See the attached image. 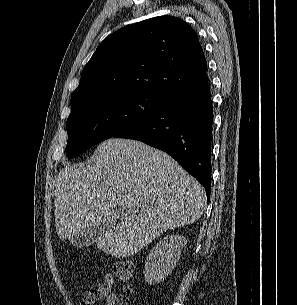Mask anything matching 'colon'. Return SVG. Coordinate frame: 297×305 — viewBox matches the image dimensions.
Listing matches in <instances>:
<instances>
[{
  "instance_id": "obj_1",
  "label": "colon",
  "mask_w": 297,
  "mask_h": 305,
  "mask_svg": "<svg viewBox=\"0 0 297 305\" xmlns=\"http://www.w3.org/2000/svg\"><path fill=\"white\" fill-rule=\"evenodd\" d=\"M115 274L119 280L124 283L130 282L134 277L135 267L129 260L118 261L114 266ZM130 290L125 289L124 295L121 298L120 305H125L128 302Z\"/></svg>"
}]
</instances>
